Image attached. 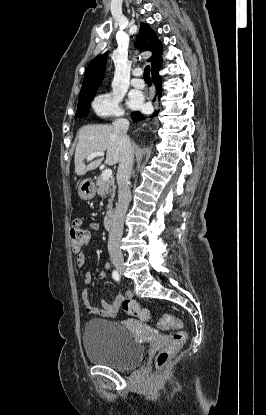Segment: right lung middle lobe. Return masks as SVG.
Here are the masks:
<instances>
[{"label":"right lung middle lobe","instance_id":"right-lung-middle-lobe-1","mask_svg":"<svg viewBox=\"0 0 266 415\" xmlns=\"http://www.w3.org/2000/svg\"><path fill=\"white\" fill-rule=\"evenodd\" d=\"M95 96V92H92L88 95L79 97L78 108L75 114V118L86 117L89 112L90 102Z\"/></svg>","mask_w":266,"mask_h":415}]
</instances>
